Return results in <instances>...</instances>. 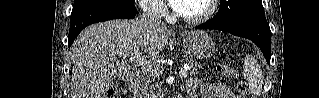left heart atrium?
<instances>
[{
    "label": "left heart atrium",
    "mask_w": 319,
    "mask_h": 98,
    "mask_svg": "<svg viewBox=\"0 0 319 98\" xmlns=\"http://www.w3.org/2000/svg\"><path fill=\"white\" fill-rule=\"evenodd\" d=\"M186 0H171L170 4L175 10H181Z\"/></svg>",
    "instance_id": "left-heart-atrium-1"
}]
</instances>
